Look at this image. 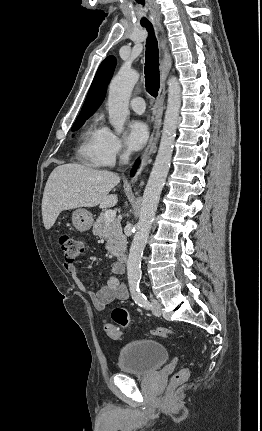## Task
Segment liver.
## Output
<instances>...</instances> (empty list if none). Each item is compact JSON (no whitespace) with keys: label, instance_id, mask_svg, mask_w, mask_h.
<instances>
[{"label":"liver","instance_id":"6515ba94","mask_svg":"<svg viewBox=\"0 0 262 431\" xmlns=\"http://www.w3.org/2000/svg\"><path fill=\"white\" fill-rule=\"evenodd\" d=\"M120 182L118 174L68 163L50 174L42 199L44 227L49 230L64 210L80 207H113L118 198L109 192Z\"/></svg>","mask_w":262,"mask_h":431}]
</instances>
